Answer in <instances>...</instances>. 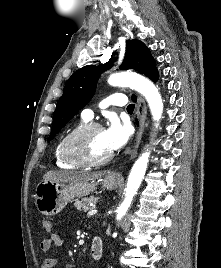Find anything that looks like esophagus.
<instances>
[{"mask_svg": "<svg viewBox=\"0 0 221 268\" xmlns=\"http://www.w3.org/2000/svg\"><path fill=\"white\" fill-rule=\"evenodd\" d=\"M147 115V108L144 100L138 96L137 97V105H136V116L138 119L139 127L136 132V139L133 148L130 150V156L131 158L135 157L137 154V149L139 147V144L141 142L142 134L144 131V122ZM110 177L112 178H120L121 173L119 171H112L110 173Z\"/></svg>", "mask_w": 221, "mask_h": 268, "instance_id": "obj_1", "label": "esophagus"}]
</instances>
